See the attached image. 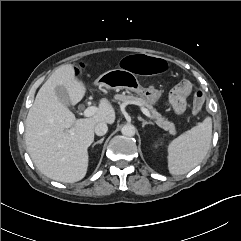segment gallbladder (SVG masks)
<instances>
[{
	"instance_id": "1",
	"label": "gallbladder",
	"mask_w": 241,
	"mask_h": 241,
	"mask_svg": "<svg viewBox=\"0 0 241 241\" xmlns=\"http://www.w3.org/2000/svg\"><path fill=\"white\" fill-rule=\"evenodd\" d=\"M55 92H56L59 100L64 105H66V106L70 105V100H69L68 94L63 87H61V86L56 87Z\"/></svg>"
}]
</instances>
